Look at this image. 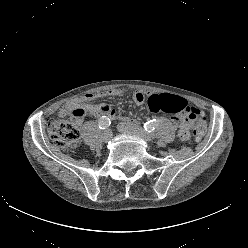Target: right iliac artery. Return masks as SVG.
Here are the masks:
<instances>
[{
    "mask_svg": "<svg viewBox=\"0 0 248 248\" xmlns=\"http://www.w3.org/2000/svg\"><path fill=\"white\" fill-rule=\"evenodd\" d=\"M111 122L110 119L106 116H102L98 122V126L100 129L104 130L107 129L110 126Z\"/></svg>",
    "mask_w": 248,
    "mask_h": 248,
    "instance_id": "obj_1",
    "label": "right iliac artery"
}]
</instances>
